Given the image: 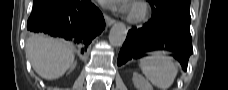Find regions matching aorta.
Listing matches in <instances>:
<instances>
[{
	"instance_id": "1",
	"label": "aorta",
	"mask_w": 228,
	"mask_h": 90,
	"mask_svg": "<svg viewBox=\"0 0 228 90\" xmlns=\"http://www.w3.org/2000/svg\"><path fill=\"white\" fill-rule=\"evenodd\" d=\"M127 29L126 26L121 23V22H117L115 23L111 30H110V34H109V42L112 46L115 47H120L123 45V43L125 42L126 36H127Z\"/></svg>"
}]
</instances>
